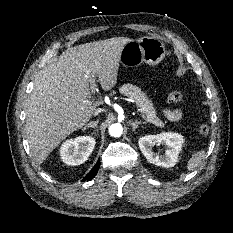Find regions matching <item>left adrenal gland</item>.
I'll use <instances>...</instances> for the list:
<instances>
[{
	"mask_svg": "<svg viewBox=\"0 0 233 233\" xmlns=\"http://www.w3.org/2000/svg\"><path fill=\"white\" fill-rule=\"evenodd\" d=\"M129 124L132 125L133 131H135L140 124H145V122H141V121H137L136 120L134 122L133 121H129Z\"/></svg>",
	"mask_w": 233,
	"mask_h": 233,
	"instance_id": "1",
	"label": "left adrenal gland"
}]
</instances>
